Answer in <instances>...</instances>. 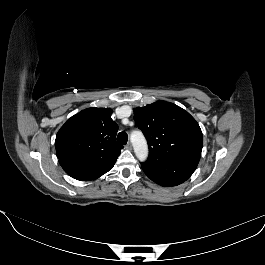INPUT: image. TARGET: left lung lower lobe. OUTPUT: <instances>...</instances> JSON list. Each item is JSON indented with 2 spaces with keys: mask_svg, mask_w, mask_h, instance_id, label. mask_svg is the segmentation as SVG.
<instances>
[{
  "mask_svg": "<svg viewBox=\"0 0 265 265\" xmlns=\"http://www.w3.org/2000/svg\"><path fill=\"white\" fill-rule=\"evenodd\" d=\"M200 157H190L159 164H144L142 169L154 182L167 187L186 181L195 171Z\"/></svg>",
  "mask_w": 265,
  "mask_h": 265,
  "instance_id": "left-lung-lower-lobe-1",
  "label": "left lung lower lobe"
}]
</instances>
